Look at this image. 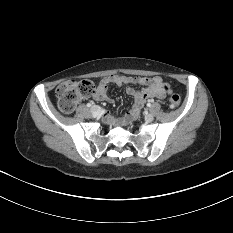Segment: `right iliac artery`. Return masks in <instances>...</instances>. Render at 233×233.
I'll return each instance as SVG.
<instances>
[{"mask_svg":"<svg viewBox=\"0 0 233 233\" xmlns=\"http://www.w3.org/2000/svg\"><path fill=\"white\" fill-rule=\"evenodd\" d=\"M91 106H92V104H91V103H88V104H87V107H91Z\"/></svg>","mask_w":233,"mask_h":233,"instance_id":"82829eb1","label":"right iliac artery"}]
</instances>
